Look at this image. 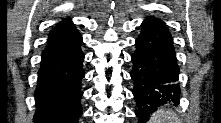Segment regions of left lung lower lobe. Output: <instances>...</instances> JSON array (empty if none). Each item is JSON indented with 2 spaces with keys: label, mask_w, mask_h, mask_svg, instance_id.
<instances>
[{
  "label": "left lung lower lobe",
  "mask_w": 221,
  "mask_h": 123,
  "mask_svg": "<svg viewBox=\"0 0 221 123\" xmlns=\"http://www.w3.org/2000/svg\"><path fill=\"white\" fill-rule=\"evenodd\" d=\"M135 41L136 50L131 56L136 101L135 114L140 121H147L161 105L179 102L180 87L177 83L179 67L173 38L164 22L155 17L146 18Z\"/></svg>",
  "instance_id": "0a47b994"
}]
</instances>
